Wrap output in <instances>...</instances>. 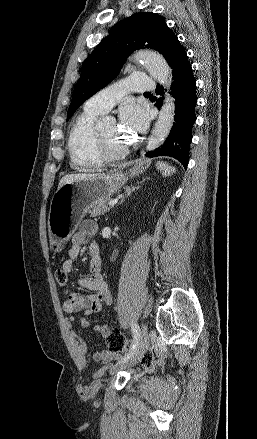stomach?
I'll use <instances>...</instances> for the list:
<instances>
[{
    "mask_svg": "<svg viewBox=\"0 0 257 439\" xmlns=\"http://www.w3.org/2000/svg\"><path fill=\"white\" fill-rule=\"evenodd\" d=\"M147 166L148 162L142 160L129 173L114 169L107 174L61 186L52 197L48 216L51 250L57 253L64 249L91 204L109 198L127 182L128 177L143 173Z\"/></svg>",
    "mask_w": 257,
    "mask_h": 439,
    "instance_id": "1",
    "label": "stomach"
}]
</instances>
